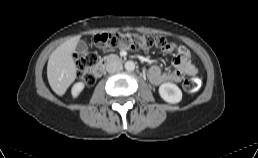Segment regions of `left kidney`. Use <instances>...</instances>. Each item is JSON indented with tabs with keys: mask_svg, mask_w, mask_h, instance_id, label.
Wrapping results in <instances>:
<instances>
[{
	"mask_svg": "<svg viewBox=\"0 0 258 158\" xmlns=\"http://www.w3.org/2000/svg\"><path fill=\"white\" fill-rule=\"evenodd\" d=\"M160 97L168 103H179L182 100V91L173 83H163L159 87Z\"/></svg>",
	"mask_w": 258,
	"mask_h": 158,
	"instance_id": "1",
	"label": "left kidney"
}]
</instances>
